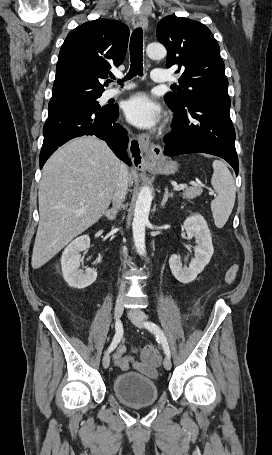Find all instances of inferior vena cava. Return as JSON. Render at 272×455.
<instances>
[{"label": "inferior vena cava", "mask_w": 272, "mask_h": 455, "mask_svg": "<svg viewBox=\"0 0 272 455\" xmlns=\"http://www.w3.org/2000/svg\"><path fill=\"white\" fill-rule=\"evenodd\" d=\"M128 183H129V178H128V169L127 166L124 163H121L120 170H119V175L115 187V192L113 195V202L116 204V207L119 208L121 203L124 201L125 196L127 194V188H128ZM123 254L124 257H127V249H123ZM126 285L125 283H121L120 285V293L119 296H122L124 294Z\"/></svg>", "instance_id": "inferior-vena-cava-1"}]
</instances>
